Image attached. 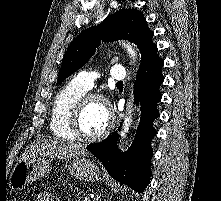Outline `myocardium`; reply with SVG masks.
I'll return each instance as SVG.
<instances>
[{"label": "myocardium", "mask_w": 221, "mask_h": 201, "mask_svg": "<svg viewBox=\"0 0 221 201\" xmlns=\"http://www.w3.org/2000/svg\"><path fill=\"white\" fill-rule=\"evenodd\" d=\"M92 101H99L104 104L106 107L108 116H109V122L104 130H102L100 133L93 135V136H88L85 135L81 131L80 127V121L82 114L86 108V106L92 102ZM115 124V116H114V111L112 104L110 100L103 94L100 93H94V92H87L85 93L75 104L71 117H70V131L75 137V139H78L80 141L84 142H94L97 140H100L104 138L109 132L113 129Z\"/></svg>", "instance_id": "f54148a6"}]
</instances>
